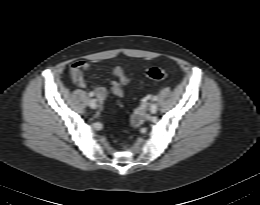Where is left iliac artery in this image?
I'll return each instance as SVG.
<instances>
[{
  "instance_id": "1",
  "label": "left iliac artery",
  "mask_w": 260,
  "mask_h": 205,
  "mask_svg": "<svg viewBox=\"0 0 260 205\" xmlns=\"http://www.w3.org/2000/svg\"><path fill=\"white\" fill-rule=\"evenodd\" d=\"M157 99H158V96H156V95L153 96V98H152L153 101H157Z\"/></svg>"
}]
</instances>
